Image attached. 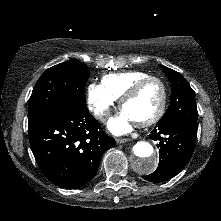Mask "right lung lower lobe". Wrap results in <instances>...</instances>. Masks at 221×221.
<instances>
[{
	"mask_svg": "<svg viewBox=\"0 0 221 221\" xmlns=\"http://www.w3.org/2000/svg\"><path fill=\"white\" fill-rule=\"evenodd\" d=\"M29 139L43 174L65 189L87 184L97 173L103 153L115 146V140L79 102L30 126Z\"/></svg>",
	"mask_w": 221,
	"mask_h": 221,
	"instance_id": "obj_1",
	"label": "right lung lower lobe"
}]
</instances>
